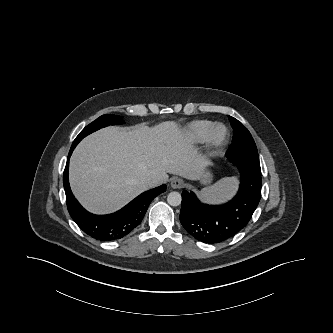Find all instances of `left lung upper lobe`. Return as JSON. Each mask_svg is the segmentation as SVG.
Masks as SVG:
<instances>
[{"label": "left lung upper lobe", "mask_w": 333, "mask_h": 333, "mask_svg": "<svg viewBox=\"0 0 333 333\" xmlns=\"http://www.w3.org/2000/svg\"><path fill=\"white\" fill-rule=\"evenodd\" d=\"M234 130L233 144L227 150V157L243 162L261 172L256 144L246 127L237 119L229 116Z\"/></svg>", "instance_id": "left-lung-upper-lobe-1"}]
</instances>
